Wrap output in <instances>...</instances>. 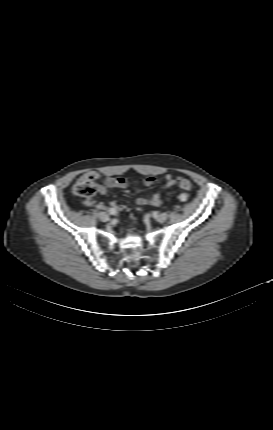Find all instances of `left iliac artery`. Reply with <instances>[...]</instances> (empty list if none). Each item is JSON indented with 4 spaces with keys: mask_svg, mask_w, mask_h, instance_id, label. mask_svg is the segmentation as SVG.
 I'll list each match as a JSON object with an SVG mask.
<instances>
[{
    "mask_svg": "<svg viewBox=\"0 0 273 430\" xmlns=\"http://www.w3.org/2000/svg\"><path fill=\"white\" fill-rule=\"evenodd\" d=\"M179 201L180 202H186L187 201V196L186 195H180L179 196Z\"/></svg>",
    "mask_w": 273,
    "mask_h": 430,
    "instance_id": "obj_1",
    "label": "left iliac artery"
}]
</instances>
